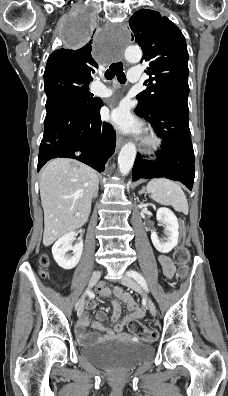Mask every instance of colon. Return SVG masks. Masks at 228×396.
<instances>
[{
  "label": "colon",
  "mask_w": 228,
  "mask_h": 396,
  "mask_svg": "<svg viewBox=\"0 0 228 396\" xmlns=\"http://www.w3.org/2000/svg\"><path fill=\"white\" fill-rule=\"evenodd\" d=\"M185 242V234H184V228H181V235H180V245L177 247L175 254H174V259L176 263L180 266L181 272L186 273L187 271V265L189 262V252L187 248L184 246ZM41 264V273L42 275L46 274V268L49 265V259L47 256H42L40 260ZM128 328L130 332L133 334L137 335L138 337L147 340V341H153L156 339V332L153 330H149L146 327H144L140 322L137 320H131L128 323Z\"/></svg>",
  "instance_id": "colon-1"
}]
</instances>
